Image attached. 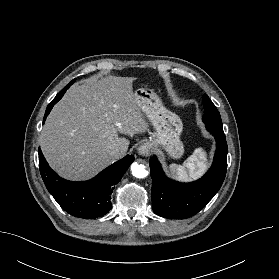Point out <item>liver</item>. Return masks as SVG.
Here are the masks:
<instances>
[{
  "mask_svg": "<svg viewBox=\"0 0 279 279\" xmlns=\"http://www.w3.org/2000/svg\"><path fill=\"white\" fill-rule=\"evenodd\" d=\"M135 78L107 76L72 86L48 115L39 143L59 175L87 180L121 158L129 140L118 133L135 135L148 130L145 114L136 98ZM120 148L123 154L109 153Z\"/></svg>",
  "mask_w": 279,
  "mask_h": 279,
  "instance_id": "1",
  "label": "liver"
}]
</instances>
